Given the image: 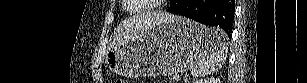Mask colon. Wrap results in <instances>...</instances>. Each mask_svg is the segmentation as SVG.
Returning <instances> with one entry per match:
<instances>
[{
    "label": "colon",
    "instance_id": "1",
    "mask_svg": "<svg viewBox=\"0 0 307 83\" xmlns=\"http://www.w3.org/2000/svg\"><path fill=\"white\" fill-rule=\"evenodd\" d=\"M116 83H128V81L125 79H117Z\"/></svg>",
    "mask_w": 307,
    "mask_h": 83
}]
</instances>
